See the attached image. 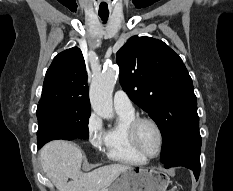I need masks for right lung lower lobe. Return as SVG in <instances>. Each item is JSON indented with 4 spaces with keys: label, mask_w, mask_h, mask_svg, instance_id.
<instances>
[{
    "label": "right lung lower lobe",
    "mask_w": 233,
    "mask_h": 191,
    "mask_svg": "<svg viewBox=\"0 0 233 191\" xmlns=\"http://www.w3.org/2000/svg\"><path fill=\"white\" fill-rule=\"evenodd\" d=\"M43 145H41V144H38V148H41Z\"/></svg>",
    "instance_id": "98d812e1"
}]
</instances>
